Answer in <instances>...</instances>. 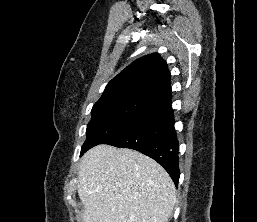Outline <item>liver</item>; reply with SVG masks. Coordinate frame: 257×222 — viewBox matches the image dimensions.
Wrapping results in <instances>:
<instances>
[{"mask_svg":"<svg viewBox=\"0 0 257 222\" xmlns=\"http://www.w3.org/2000/svg\"><path fill=\"white\" fill-rule=\"evenodd\" d=\"M83 222H168L175 185L150 157L132 149L98 145L79 165Z\"/></svg>","mask_w":257,"mask_h":222,"instance_id":"liver-1","label":"liver"}]
</instances>
